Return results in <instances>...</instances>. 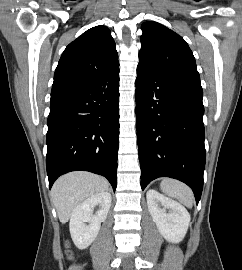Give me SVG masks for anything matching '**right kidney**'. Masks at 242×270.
I'll list each match as a JSON object with an SVG mask.
<instances>
[{
  "label": "right kidney",
  "instance_id": "right-kidney-1",
  "mask_svg": "<svg viewBox=\"0 0 242 270\" xmlns=\"http://www.w3.org/2000/svg\"><path fill=\"white\" fill-rule=\"evenodd\" d=\"M111 205V194L109 192H101L95 194L80 205H78L70 218V234L74 244L79 249L87 248L97 237ZM95 206H99V210L93 214ZM88 223V224H87Z\"/></svg>",
  "mask_w": 242,
  "mask_h": 270
}]
</instances>
